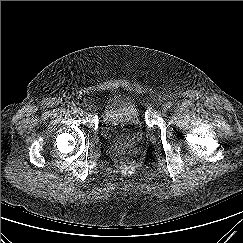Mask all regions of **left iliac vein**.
<instances>
[{
    "label": "left iliac vein",
    "mask_w": 243,
    "mask_h": 243,
    "mask_svg": "<svg viewBox=\"0 0 243 243\" xmlns=\"http://www.w3.org/2000/svg\"><path fill=\"white\" fill-rule=\"evenodd\" d=\"M161 110H162V112H166V111H167V107H166V105H162V106H161Z\"/></svg>",
    "instance_id": "left-iliac-vein-1"
}]
</instances>
